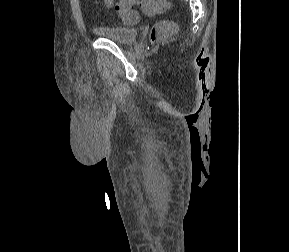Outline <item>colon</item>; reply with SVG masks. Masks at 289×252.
<instances>
[{
	"instance_id": "1",
	"label": "colon",
	"mask_w": 289,
	"mask_h": 252,
	"mask_svg": "<svg viewBox=\"0 0 289 252\" xmlns=\"http://www.w3.org/2000/svg\"><path fill=\"white\" fill-rule=\"evenodd\" d=\"M139 4L141 10L147 15L163 13L169 7L167 0H119L116 11L120 18L129 24L138 21V13L133 9L135 4ZM176 31V25L172 21H159L153 25L150 31V41L152 43L161 42L172 36Z\"/></svg>"
}]
</instances>
